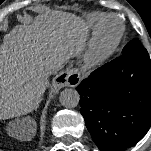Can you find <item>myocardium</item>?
<instances>
[{"label":"myocardium","mask_w":151,"mask_h":151,"mask_svg":"<svg viewBox=\"0 0 151 151\" xmlns=\"http://www.w3.org/2000/svg\"><path fill=\"white\" fill-rule=\"evenodd\" d=\"M110 20L118 22L116 34L110 38L106 35V25ZM124 34V25L115 15H106L96 27L89 43L86 60L92 64H100L107 60L118 48Z\"/></svg>","instance_id":"myocardium-1"}]
</instances>
